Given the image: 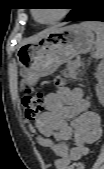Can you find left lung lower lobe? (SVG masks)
<instances>
[{
	"mask_svg": "<svg viewBox=\"0 0 104 169\" xmlns=\"http://www.w3.org/2000/svg\"><path fill=\"white\" fill-rule=\"evenodd\" d=\"M65 21H102L104 4L99 0H79L77 9Z\"/></svg>",
	"mask_w": 104,
	"mask_h": 169,
	"instance_id": "1",
	"label": "left lung lower lobe"
}]
</instances>
